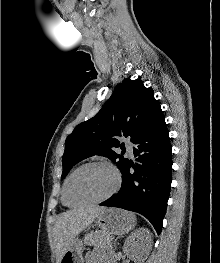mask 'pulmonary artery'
I'll list each match as a JSON object with an SVG mask.
<instances>
[{"instance_id": "1", "label": "pulmonary artery", "mask_w": 220, "mask_h": 263, "mask_svg": "<svg viewBox=\"0 0 220 263\" xmlns=\"http://www.w3.org/2000/svg\"><path fill=\"white\" fill-rule=\"evenodd\" d=\"M126 147H127L128 153L132 156L133 155V145H132V143L129 142V141H126Z\"/></svg>"}]
</instances>
